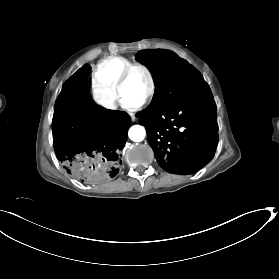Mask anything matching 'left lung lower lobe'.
I'll return each instance as SVG.
<instances>
[{"label":"left lung lower lobe","mask_w":279,"mask_h":279,"mask_svg":"<svg viewBox=\"0 0 279 279\" xmlns=\"http://www.w3.org/2000/svg\"><path fill=\"white\" fill-rule=\"evenodd\" d=\"M159 165L172 174H192L213 158L218 143L216 105L202 85L153 114H137Z\"/></svg>","instance_id":"0a47b994"}]
</instances>
